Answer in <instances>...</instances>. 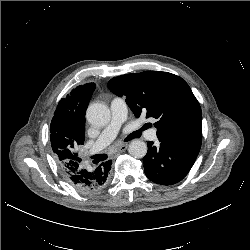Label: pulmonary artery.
I'll list each match as a JSON object with an SVG mask.
<instances>
[{
  "instance_id": "obj_1",
  "label": "pulmonary artery",
  "mask_w": 250,
  "mask_h": 250,
  "mask_svg": "<svg viewBox=\"0 0 250 250\" xmlns=\"http://www.w3.org/2000/svg\"><path fill=\"white\" fill-rule=\"evenodd\" d=\"M111 110V120L109 124L104 128L101 132L98 139L95 141L93 147L90 150V154L97 153L107 147L117 136L122 124L127 119V106L125 101L120 98L116 97L111 101L110 104ZM148 139L155 140L156 139V129H151L148 132Z\"/></svg>"
}]
</instances>
